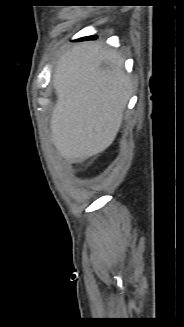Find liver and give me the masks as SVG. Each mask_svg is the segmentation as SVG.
<instances>
[{"mask_svg": "<svg viewBox=\"0 0 184 327\" xmlns=\"http://www.w3.org/2000/svg\"><path fill=\"white\" fill-rule=\"evenodd\" d=\"M53 86L50 129L61 156L85 160L107 149L132 93L120 55L100 43L75 45L59 57Z\"/></svg>", "mask_w": 184, "mask_h": 327, "instance_id": "liver-1", "label": "liver"}]
</instances>
